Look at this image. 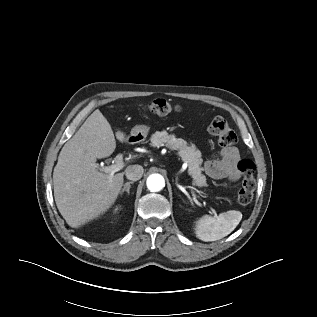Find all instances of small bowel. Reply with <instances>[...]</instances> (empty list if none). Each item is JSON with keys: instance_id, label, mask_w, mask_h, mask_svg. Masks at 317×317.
<instances>
[{"instance_id": "c3829d8e", "label": "small bowel", "mask_w": 317, "mask_h": 317, "mask_svg": "<svg viewBox=\"0 0 317 317\" xmlns=\"http://www.w3.org/2000/svg\"><path fill=\"white\" fill-rule=\"evenodd\" d=\"M239 157V151L235 146L224 147L217 159L204 164V172L212 179L237 181L240 177L237 167Z\"/></svg>"}]
</instances>
